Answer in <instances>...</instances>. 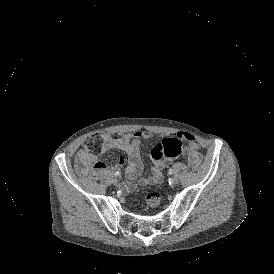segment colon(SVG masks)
Wrapping results in <instances>:
<instances>
[{
    "instance_id": "obj_1",
    "label": "colon",
    "mask_w": 274,
    "mask_h": 274,
    "mask_svg": "<svg viewBox=\"0 0 274 274\" xmlns=\"http://www.w3.org/2000/svg\"><path fill=\"white\" fill-rule=\"evenodd\" d=\"M105 143V135L102 133H95L90 135L83 143L84 150L90 156H99L103 149ZM203 156L200 153H193L188 163L190 167L197 169L201 167L203 163ZM159 203V196L156 192H149L145 196V205L147 207H155Z\"/></svg>"
}]
</instances>
